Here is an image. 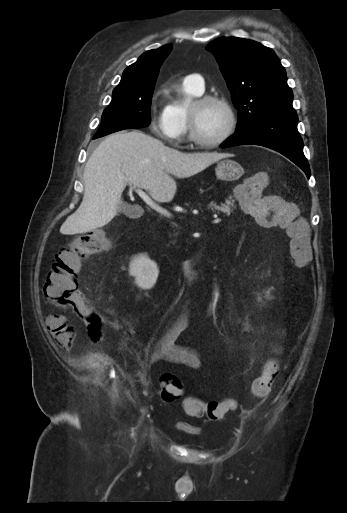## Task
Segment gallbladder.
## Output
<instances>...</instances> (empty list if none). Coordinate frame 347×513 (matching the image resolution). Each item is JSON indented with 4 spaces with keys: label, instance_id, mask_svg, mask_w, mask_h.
Wrapping results in <instances>:
<instances>
[{
    "label": "gallbladder",
    "instance_id": "bac80fb5",
    "mask_svg": "<svg viewBox=\"0 0 347 513\" xmlns=\"http://www.w3.org/2000/svg\"><path fill=\"white\" fill-rule=\"evenodd\" d=\"M121 211L128 217H134L137 214V208L128 204H121Z\"/></svg>",
    "mask_w": 347,
    "mask_h": 513
}]
</instances>
